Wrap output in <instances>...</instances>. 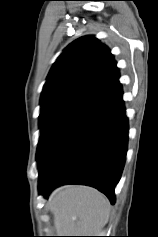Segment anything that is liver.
<instances>
[{"label":"liver","mask_w":158,"mask_h":237,"mask_svg":"<svg viewBox=\"0 0 158 237\" xmlns=\"http://www.w3.org/2000/svg\"><path fill=\"white\" fill-rule=\"evenodd\" d=\"M57 236H95L109 220V200L94 188L67 185L48 200Z\"/></svg>","instance_id":"1"}]
</instances>
